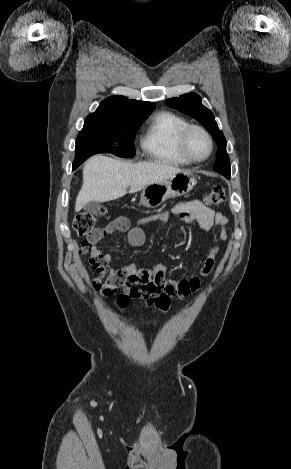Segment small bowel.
I'll list each match as a JSON object with an SVG mask.
<instances>
[{
	"instance_id": "small-bowel-1",
	"label": "small bowel",
	"mask_w": 291,
	"mask_h": 469,
	"mask_svg": "<svg viewBox=\"0 0 291 469\" xmlns=\"http://www.w3.org/2000/svg\"><path fill=\"white\" fill-rule=\"evenodd\" d=\"M171 213L178 216L185 224L197 222L206 231L217 227L218 238L223 241L228 238L226 230L227 217L205 206L199 200L178 203L172 208ZM167 218L168 213L163 212L153 216L142 217L136 224L132 225L128 218L119 216L113 219L105 230L106 233L114 231L125 232L128 243L133 247H140L145 243L144 226L153 222H164ZM185 244L186 240L180 238L175 243V247H183ZM216 251V245L212 244L208 255L200 264L198 274L180 280H173L165 277L166 268L163 264H158L153 268L138 267L134 264H128L119 269L108 268L107 264L111 262V255L103 253L94 244L89 249L90 255L91 257L100 258L105 263L106 269L100 272L98 277L94 278L93 286L96 284L102 285L97 290L100 291L103 297H110L115 294L118 288H122L125 296H132L134 299L137 296L152 297L160 294H167L169 300L174 296L185 298L191 293L196 292L200 287L201 278L208 276L213 271ZM151 287L155 291H151Z\"/></svg>"
}]
</instances>
